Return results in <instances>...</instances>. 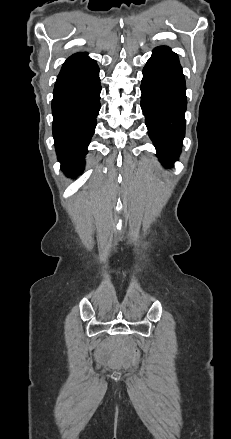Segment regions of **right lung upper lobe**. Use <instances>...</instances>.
<instances>
[{
	"mask_svg": "<svg viewBox=\"0 0 231 439\" xmlns=\"http://www.w3.org/2000/svg\"><path fill=\"white\" fill-rule=\"evenodd\" d=\"M87 58V53H76L72 56H70L63 64V68L69 67L71 65L76 64L77 62H80L81 60Z\"/></svg>",
	"mask_w": 231,
	"mask_h": 439,
	"instance_id": "1",
	"label": "right lung upper lobe"
}]
</instances>
